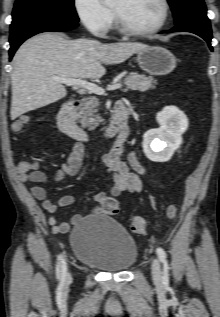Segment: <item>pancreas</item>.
Wrapping results in <instances>:
<instances>
[{
	"instance_id": "obj_1",
	"label": "pancreas",
	"mask_w": 220,
	"mask_h": 317,
	"mask_svg": "<svg viewBox=\"0 0 220 317\" xmlns=\"http://www.w3.org/2000/svg\"><path fill=\"white\" fill-rule=\"evenodd\" d=\"M125 89L128 90H139L145 92L149 89H154L157 81L152 77H146L144 74H138L137 72L130 73L124 79ZM99 105L96 97H89L83 103V107L78 114V119L83 128L88 130H94L100 123L101 119L96 114V107Z\"/></svg>"
}]
</instances>
